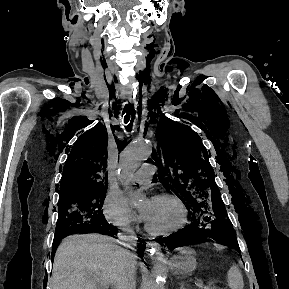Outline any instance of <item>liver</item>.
Here are the masks:
<instances>
[{
	"mask_svg": "<svg viewBox=\"0 0 289 289\" xmlns=\"http://www.w3.org/2000/svg\"><path fill=\"white\" fill-rule=\"evenodd\" d=\"M129 251L107 236L74 235L57 248L52 289H99L111 285L118 289ZM134 264V273H135Z\"/></svg>",
	"mask_w": 289,
	"mask_h": 289,
	"instance_id": "liver-1",
	"label": "liver"
}]
</instances>
